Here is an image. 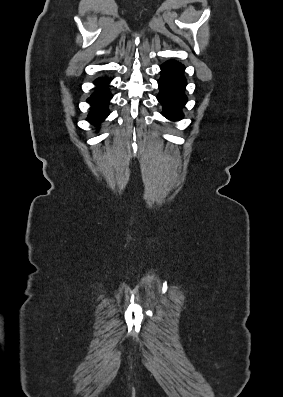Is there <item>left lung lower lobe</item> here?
Masks as SVG:
<instances>
[{
  "mask_svg": "<svg viewBox=\"0 0 283 397\" xmlns=\"http://www.w3.org/2000/svg\"><path fill=\"white\" fill-rule=\"evenodd\" d=\"M160 68L162 76L158 80L160 93L157 99L163 106L162 115L169 120H180L183 118L181 108L188 101L184 94L187 85L183 76L185 67L175 60H170Z\"/></svg>",
  "mask_w": 283,
  "mask_h": 397,
  "instance_id": "0a47b994",
  "label": "left lung lower lobe"
}]
</instances>
